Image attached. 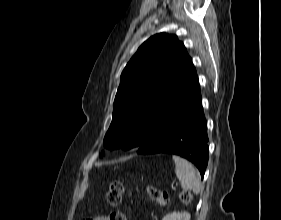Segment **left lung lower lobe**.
Instances as JSON below:
<instances>
[{
    "label": "left lung lower lobe",
    "mask_w": 281,
    "mask_h": 220,
    "mask_svg": "<svg viewBox=\"0 0 281 220\" xmlns=\"http://www.w3.org/2000/svg\"><path fill=\"white\" fill-rule=\"evenodd\" d=\"M207 142V123L195 74L165 113L154 137L140 146L137 153L179 155L191 161L203 178L208 163Z\"/></svg>",
    "instance_id": "obj_1"
}]
</instances>
